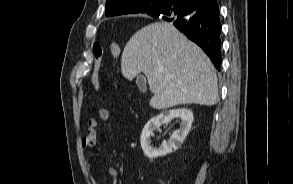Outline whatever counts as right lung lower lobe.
<instances>
[{"mask_svg":"<svg viewBox=\"0 0 293 184\" xmlns=\"http://www.w3.org/2000/svg\"><path fill=\"white\" fill-rule=\"evenodd\" d=\"M154 17L172 22L177 29L205 51L220 71L221 22L216 2L202 6V3L197 1L180 0Z\"/></svg>","mask_w":293,"mask_h":184,"instance_id":"98d812e1","label":"right lung lower lobe"}]
</instances>
